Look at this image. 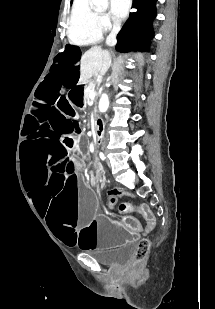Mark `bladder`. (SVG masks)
Segmentation results:
<instances>
[{
    "instance_id": "obj_1",
    "label": "bladder",
    "mask_w": 215,
    "mask_h": 309,
    "mask_svg": "<svg viewBox=\"0 0 215 309\" xmlns=\"http://www.w3.org/2000/svg\"><path fill=\"white\" fill-rule=\"evenodd\" d=\"M135 253L136 247L130 244L116 251L98 255L96 259L100 264L108 267H122L134 258Z\"/></svg>"
}]
</instances>
